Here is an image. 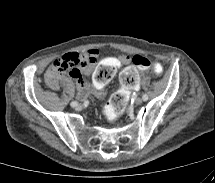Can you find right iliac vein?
I'll list each match as a JSON object with an SVG mask.
<instances>
[{
	"label": "right iliac vein",
	"instance_id": "1",
	"mask_svg": "<svg viewBox=\"0 0 215 183\" xmlns=\"http://www.w3.org/2000/svg\"><path fill=\"white\" fill-rule=\"evenodd\" d=\"M81 108H82V106L79 104V105H77V106H75V109L76 110H81Z\"/></svg>",
	"mask_w": 215,
	"mask_h": 183
}]
</instances>
